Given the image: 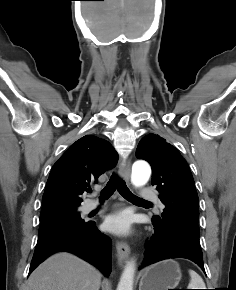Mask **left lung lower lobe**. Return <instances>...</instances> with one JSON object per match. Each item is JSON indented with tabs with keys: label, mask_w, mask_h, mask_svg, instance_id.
<instances>
[{
	"label": "left lung lower lobe",
	"mask_w": 236,
	"mask_h": 290,
	"mask_svg": "<svg viewBox=\"0 0 236 290\" xmlns=\"http://www.w3.org/2000/svg\"><path fill=\"white\" fill-rule=\"evenodd\" d=\"M154 234L150 238L142 267L169 258H186L195 262L204 272L199 236L170 224L153 221Z\"/></svg>",
	"instance_id": "obj_1"
}]
</instances>
